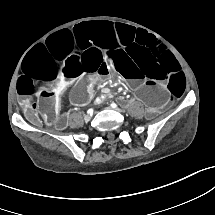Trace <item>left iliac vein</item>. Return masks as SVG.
<instances>
[{"instance_id":"left-iliac-vein-1","label":"left iliac vein","mask_w":215,"mask_h":215,"mask_svg":"<svg viewBox=\"0 0 215 215\" xmlns=\"http://www.w3.org/2000/svg\"><path fill=\"white\" fill-rule=\"evenodd\" d=\"M115 110L120 111L118 108H115Z\"/></svg>"}]
</instances>
